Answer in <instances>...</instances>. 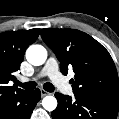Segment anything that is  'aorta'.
Listing matches in <instances>:
<instances>
[{"label": "aorta", "instance_id": "1", "mask_svg": "<svg viewBox=\"0 0 119 119\" xmlns=\"http://www.w3.org/2000/svg\"><path fill=\"white\" fill-rule=\"evenodd\" d=\"M26 59L32 65L40 66L47 59V51L42 45H31L26 51ZM42 106L47 111H53L57 107V100L53 96H46L42 100Z\"/></svg>", "mask_w": 119, "mask_h": 119}]
</instances>
